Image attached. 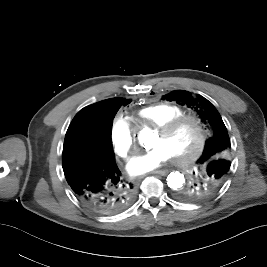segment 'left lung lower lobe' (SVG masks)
<instances>
[{"label":"left lung lower lobe","mask_w":267,"mask_h":267,"mask_svg":"<svg viewBox=\"0 0 267 267\" xmlns=\"http://www.w3.org/2000/svg\"><path fill=\"white\" fill-rule=\"evenodd\" d=\"M231 167V159L223 153L196 158L190 166V181L176 192L177 201L190 204L211 200L224 190Z\"/></svg>","instance_id":"obj_1"}]
</instances>
